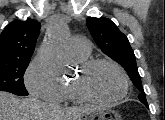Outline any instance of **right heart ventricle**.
Returning <instances> with one entry per match:
<instances>
[{
    "mask_svg": "<svg viewBox=\"0 0 165 120\" xmlns=\"http://www.w3.org/2000/svg\"><path fill=\"white\" fill-rule=\"evenodd\" d=\"M77 62L82 63L84 61H86L87 57L85 58H74ZM63 87V91H62V98L60 101L62 102H73V103H77L80 102V100L76 97V95L74 94L73 90H72V85L71 83L69 84H65L62 85Z\"/></svg>",
    "mask_w": 165,
    "mask_h": 120,
    "instance_id": "1",
    "label": "right heart ventricle"
}]
</instances>
